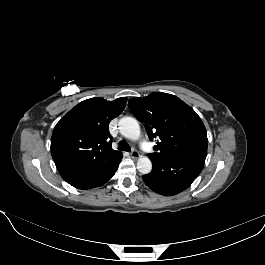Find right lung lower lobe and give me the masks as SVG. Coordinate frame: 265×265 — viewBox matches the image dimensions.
<instances>
[{"instance_id":"right-lung-lower-lobe-1","label":"right lung lower lobe","mask_w":265,"mask_h":265,"mask_svg":"<svg viewBox=\"0 0 265 265\" xmlns=\"http://www.w3.org/2000/svg\"><path fill=\"white\" fill-rule=\"evenodd\" d=\"M122 155L105 163H86L58 169L62 178L78 189H91L106 183L115 174Z\"/></svg>"}]
</instances>
